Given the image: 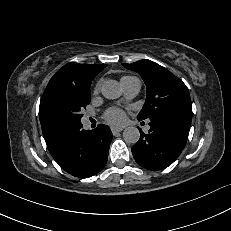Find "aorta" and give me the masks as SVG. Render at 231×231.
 <instances>
[{
    "instance_id": "762f6f07",
    "label": "aorta",
    "mask_w": 231,
    "mask_h": 231,
    "mask_svg": "<svg viewBox=\"0 0 231 231\" xmlns=\"http://www.w3.org/2000/svg\"><path fill=\"white\" fill-rule=\"evenodd\" d=\"M102 95L107 99H117L121 96V88L117 81L107 80L101 88ZM140 138V132L137 127L130 126L123 131L125 142L135 144Z\"/></svg>"
}]
</instances>
